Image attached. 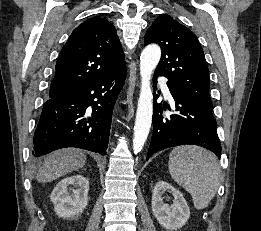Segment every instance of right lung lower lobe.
<instances>
[{"mask_svg":"<svg viewBox=\"0 0 261 231\" xmlns=\"http://www.w3.org/2000/svg\"><path fill=\"white\" fill-rule=\"evenodd\" d=\"M126 65L72 93L45 102L34 133V157L77 147L106 155L116 99Z\"/></svg>","mask_w":261,"mask_h":231,"instance_id":"right-lung-lower-lobe-1","label":"right lung lower lobe"}]
</instances>
